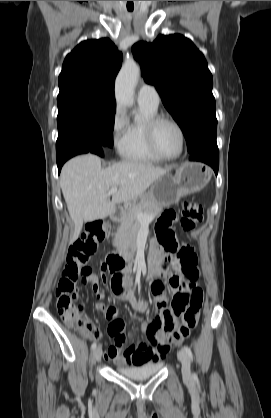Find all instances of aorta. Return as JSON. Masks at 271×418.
Wrapping results in <instances>:
<instances>
[{
    "instance_id": "1",
    "label": "aorta",
    "mask_w": 271,
    "mask_h": 418,
    "mask_svg": "<svg viewBox=\"0 0 271 418\" xmlns=\"http://www.w3.org/2000/svg\"><path fill=\"white\" fill-rule=\"evenodd\" d=\"M140 75V67L134 60H127L115 82V96L119 106H132L134 89Z\"/></svg>"
}]
</instances>
